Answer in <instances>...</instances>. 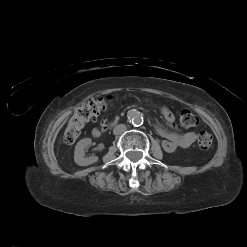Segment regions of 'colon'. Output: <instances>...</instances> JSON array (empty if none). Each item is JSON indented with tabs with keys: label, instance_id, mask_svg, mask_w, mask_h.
<instances>
[{
	"label": "colon",
	"instance_id": "obj_1",
	"mask_svg": "<svg viewBox=\"0 0 247 247\" xmlns=\"http://www.w3.org/2000/svg\"><path fill=\"white\" fill-rule=\"evenodd\" d=\"M111 105V98L90 99L78 107L70 118L64 131V141L67 144L74 143L80 136L85 124L95 120L98 115L108 109ZM180 125L185 128L194 127L198 124V118L190 110L184 109L179 115ZM198 146L203 150L211 148L213 138L210 133L201 131L197 139Z\"/></svg>",
	"mask_w": 247,
	"mask_h": 247
}]
</instances>
